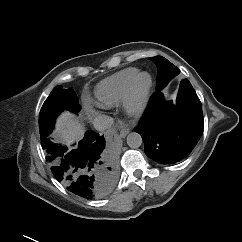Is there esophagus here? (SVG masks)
Returning a JSON list of instances; mask_svg holds the SVG:
<instances>
[{"label": "esophagus", "mask_w": 242, "mask_h": 242, "mask_svg": "<svg viewBox=\"0 0 242 242\" xmlns=\"http://www.w3.org/2000/svg\"><path fill=\"white\" fill-rule=\"evenodd\" d=\"M119 131H120V137L124 138L130 132V129L127 126L122 125L120 126Z\"/></svg>", "instance_id": "1"}]
</instances>
